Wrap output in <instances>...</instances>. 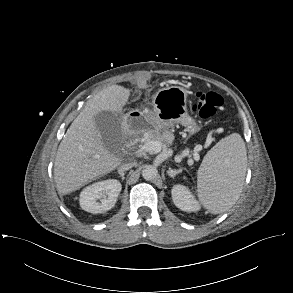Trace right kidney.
Masks as SVG:
<instances>
[{
  "mask_svg": "<svg viewBox=\"0 0 293 293\" xmlns=\"http://www.w3.org/2000/svg\"><path fill=\"white\" fill-rule=\"evenodd\" d=\"M121 189L122 185L116 179L93 183L81 192L80 206L93 214L106 212L114 207Z\"/></svg>",
  "mask_w": 293,
  "mask_h": 293,
  "instance_id": "right-kidney-1",
  "label": "right kidney"
}]
</instances>
